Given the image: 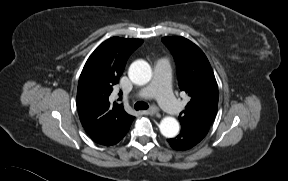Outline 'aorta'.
I'll return each mask as SVG.
<instances>
[{
  "label": "aorta",
  "mask_w": 288,
  "mask_h": 181,
  "mask_svg": "<svg viewBox=\"0 0 288 181\" xmlns=\"http://www.w3.org/2000/svg\"><path fill=\"white\" fill-rule=\"evenodd\" d=\"M130 80L137 85L147 84L152 77L150 65L144 60L134 61L128 71ZM179 123L174 117H164L159 125L160 132L166 138H173L179 132Z\"/></svg>",
  "instance_id": "obj_1"
}]
</instances>
